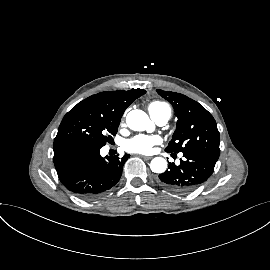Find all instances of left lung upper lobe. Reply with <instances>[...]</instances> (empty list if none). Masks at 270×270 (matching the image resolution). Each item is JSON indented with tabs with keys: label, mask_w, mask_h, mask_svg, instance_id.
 <instances>
[{
	"label": "left lung upper lobe",
	"mask_w": 270,
	"mask_h": 270,
	"mask_svg": "<svg viewBox=\"0 0 270 270\" xmlns=\"http://www.w3.org/2000/svg\"><path fill=\"white\" fill-rule=\"evenodd\" d=\"M158 94L169 101L178 118L167 152H195L218 159L219 131L213 116L198 102L176 92L158 89Z\"/></svg>",
	"instance_id": "left-lung-upper-lobe-1"
}]
</instances>
